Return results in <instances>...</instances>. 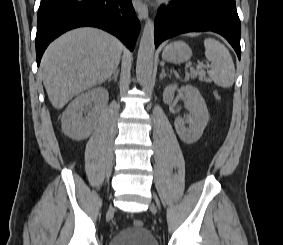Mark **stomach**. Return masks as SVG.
<instances>
[{
    "instance_id": "0dacf381",
    "label": "stomach",
    "mask_w": 283,
    "mask_h": 245,
    "mask_svg": "<svg viewBox=\"0 0 283 245\" xmlns=\"http://www.w3.org/2000/svg\"><path fill=\"white\" fill-rule=\"evenodd\" d=\"M192 56L190 47L182 41H175L168 44L162 53L165 61L171 63H183L188 61Z\"/></svg>"
}]
</instances>
